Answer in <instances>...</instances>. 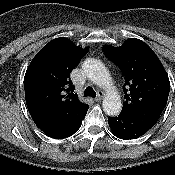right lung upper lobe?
<instances>
[{
  "label": "right lung upper lobe",
  "instance_id": "right-lung-upper-lobe-1",
  "mask_svg": "<svg viewBox=\"0 0 175 175\" xmlns=\"http://www.w3.org/2000/svg\"><path fill=\"white\" fill-rule=\"evenodd\" d=\"M89 49L67 38L47 43L33 58L24 77L25 100L37 126L57 118L73 119L88 110L79 101L70 80L71 71Z\"/></svg>",
  "mask_w": 175,
  "mask_h": 175
}]
</instances>
